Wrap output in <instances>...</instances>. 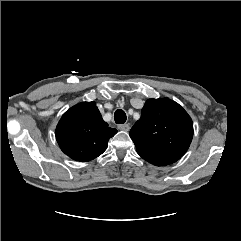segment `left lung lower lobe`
Segmentation results:
<instances>
[{"label":"left lung lower lobe","mask_w":241,"mask_h":241,"mask_svg":"<svg viewBox=\"0 0 241 241\" xmlns=\"http://www.w3.org/2000/svg\"><path fill=\"white\" fill-rule=\"evenodd\" d=\"M138 154L149 163L157 166L172 164L179 159V158L170 157V156H158V155H151V154L141 153V152H138Z\"/></svg>","instance_id":"1"}]
</instances>
